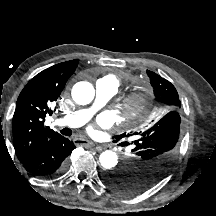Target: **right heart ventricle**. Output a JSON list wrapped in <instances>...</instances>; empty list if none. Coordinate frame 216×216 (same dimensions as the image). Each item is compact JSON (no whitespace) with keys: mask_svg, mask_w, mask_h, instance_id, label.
<instances>
[{"mask_svg":"<svg viewBox=\"0 0 216 216\" xmlns=\"http://www.w3.org/2000/svg\"><path fill=\"white\" fill-rule=\"evenodd\" d=\"M109 76L113 77L119 83V77H118V75L114 74V75H109Z\"/></svg>","mask_w":216,"mask_h":216,"instance_id":"e07e8e85","label":"right heart ventricle"}]
</instances>
